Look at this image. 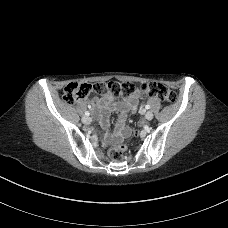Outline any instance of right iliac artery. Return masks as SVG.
I'll list each match as a JSON object with an SVG mask.
<instances>
[{
  "label": "right iliac artery",
  "mask_w": 228,
  "mask_h": 228,
  "mask_svg": "<svg viewBox=\"0 0 228 228\" xmlns=\"http://www.w3.org/2000/svg\"><path fill=\"white\" fill-rule=\"evenodd\" d=\"M85 115H86V116H89V115H90V113H89L88 111H86V112H85Z\"/></svg>",
  "instance_id": "82829eb1"
}]
</instances>
